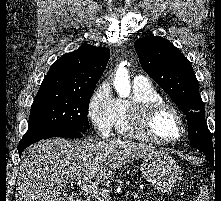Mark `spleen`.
Listing matches in <instances>:
<instances>
[{"mask_svg": "<svg viewBox=\"0 0 221 201\" xmlns=\"http://www.w3.org/2000/svg\"><path fill=\"white\" fill-rule=\"evenodd\" d=\"M195 201H209V195L205 186L201 187L200 194Z\"/></svg>", "mask_w": 221, "mask_h": 201, "instance_id": "obj_1", "label": "spleen"}]
</instances>
